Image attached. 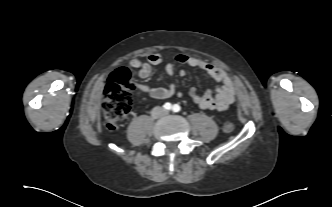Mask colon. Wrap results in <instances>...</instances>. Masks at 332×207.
Segmentation results:
<instances>
[{
	"mask_svg": "<svg viewBox=\"0 0 332 207\" xmlns=\"http://www.w3.org/2000/svg\"><path fill=\"white\" fill-rule=\"evenodd\" d=\"M135 89L136 85L127 68H118L110 75L104 88V101L102 103L105 126L108 131L114 132L118 128L119 122L131 110L132 93ZM233 130L232 123L224 124L223 131L225 133H231Z\"/></svg>",
	"mask_w": 332,
	"mask_h": 207,
	"instance_id": "colon-1",
	"label": "colon"
}]
</instances>
